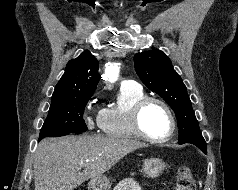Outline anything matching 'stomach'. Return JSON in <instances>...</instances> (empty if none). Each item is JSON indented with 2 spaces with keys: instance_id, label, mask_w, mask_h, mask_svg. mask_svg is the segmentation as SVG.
I'll list each match as a JSON object with an SVG mask.
<instances>
[{
  "instance_id": "stomach-1",
  "label": "stomach",
  "mask_w": 238,
  "mask_h": 190,
  "mask_svg": "<svg viewBox=\"0 0 238 190\" xmlns=\"http://www.w3.org/2000/svg\"><path fill=\"white\" fill-rule=\"evenodd\" d=\"M143 172L148 178L159 177L165 169V163L159 158L146 159L143 163ZM110 179L106 176H100L89 182L90 190H108Z\"/></svg>"
}]
</instances>
